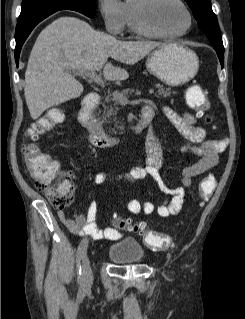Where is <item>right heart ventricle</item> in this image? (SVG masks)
<instances>
[{
  "instance_id": "1",
  "label": "right heart ventricle",
  "mask_w": 245,
  "mask_h": 319,
  "mask_svg": "<svg viewBox=\"0 0 245 319\" xmlns=\"http://www.w3.org/2000/svg\"><path fill=\"white\" fill-rule=\"evenodd\" d=\"M135 0H127L124 3V11H125V22L126 26L129 29L130 32L141 34L139 30L137 29L133 17V3Z\"/></svg>"
}]
</instances>
